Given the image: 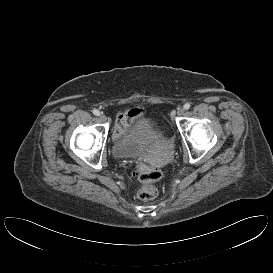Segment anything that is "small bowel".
<instances>
[{
	"instance_id": "1",
	"label": "small bowel",
	"mask_w": 273,
	"mask_h": 273,
	"mask_svg": "<svg viewBox=\"0 0 273 273\" xmlns=\"http://www.w3.org/2000/svg\"><path fill=\"white\" fill-rule=\"evenodd\" d=\"M144 111L142 109H132L118 113L116 116L114 137H119L126 133L130 126L139 118H142Z\"/></svg>"
}]
</instances>
